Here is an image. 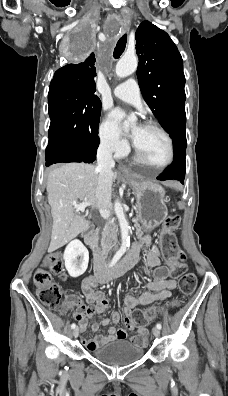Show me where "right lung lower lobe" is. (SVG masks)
<instances>
[{
  "instance_id": "right-lung-lower-lobe-1",
  "label": "right lung lower lobe",
  "mask_w": 228,
  "mask_h": 396,
  "mask_svg": "<svg viewBox=\"0 0 228 396\" xmlns=\"http://www.w3.org/2000/svg\"><path fill=\"white\" fill-rule=\"evenodd\" d=\"M46 166L59 162H84L62 145L49 144L46 148Z\"/></svg>"
}]
</instances>
